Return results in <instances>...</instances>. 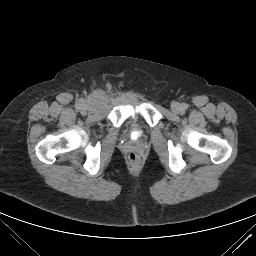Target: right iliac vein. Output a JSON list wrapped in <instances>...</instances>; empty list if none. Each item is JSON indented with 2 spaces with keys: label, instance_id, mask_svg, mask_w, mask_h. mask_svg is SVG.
Segmentation results:
<instances>
[{
  "label": "right iliac vein",
  "instance_id": "obj_1",
  "mask_svg": "<svg viewBox=\"0 0 256 256\" xmlns=\"http://www.w3.org/2000/svg\"><path fill=\"white\" fill-rule=\"evenodd\" d=\"M88 110H89V105L83 104V105L81 106V113H82V114H86Z\"/></svg>",
  "mask_w": 256,
  "mask_h": 256
}]
</instances>
